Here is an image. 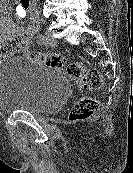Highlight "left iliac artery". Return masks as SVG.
Masks as SVG:
<instances>
[{
  "label": "left iliac artery",
  "mask_w": 133,
  "mask_h": 173,
  "mask_svg": "<svg viewBox=\"0 0 133 173\" xmlns=\"http://www.w3.org/2000/svg\"><path fill=\"white\" fill-rule=\"evenodd\" d=\"M38 41L41 44H44L45 43V38H44V36L42 34L39 36V40Z\"/></svg>",
  "instance_id": "44dca946"
}]
</instances>
